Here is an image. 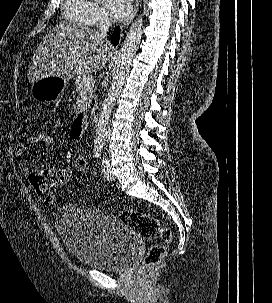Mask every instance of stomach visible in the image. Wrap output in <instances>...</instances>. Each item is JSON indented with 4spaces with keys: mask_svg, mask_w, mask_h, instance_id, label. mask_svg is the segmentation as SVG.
<instances>
[{
    "mask_svg": "<svg viewBox=\"0 0 272 303\" xmlns=\"http://www.w3.org/2000/svg\"><path fill=\"white\" fill-rule=\"evenodd\" d=\"M67 84L65 77H47L33 83L32 96L40 102L56 101Z\"/></svg>",
    "mask_w": 272,
    "mask_h": 303,
    "instance_id": "0dacf381",
    "label": "stomach"
}]
</instances>
